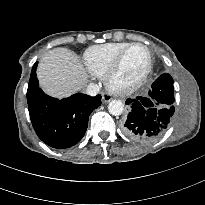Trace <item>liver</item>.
<instances>
[{
    "mask_svg": "<svg viewBox=\"0 0 205 205\" xmlns=\"http://www.w3.org/2000/svg\"><path fill=\"white\" fill-rule=\"evenodd\" d=\"M37 77L42 89L53 97H67L82 90L87 74L79 57L66 48H54L45 53Z\"/></svg>",
    "mask_w": 205,
    "mask_h": 205,
    "instance_id": "obj_1",
    "label": "liver"
}]
</instances>
